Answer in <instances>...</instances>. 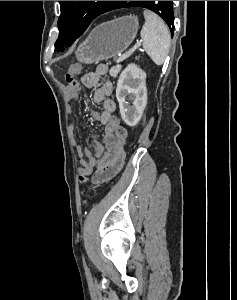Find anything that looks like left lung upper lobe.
I'll return each mask as SVG.
<instances>
[{"instance_id": "1", "label": "left lung upper lobe", "mask_w": 237, "mask_h": 300, "mask_svg": "<svg viewBox=\"0 0 237 300\" xmlns=\"http://www.w3.org/2000/svg\"><path fill=\"white\" fill-rule=\"evenodd\" d=\"M61 15L58 19L59 37L55 48L60 51L63 46L71 45L79 38L90 23L105 9L111 1H59ZM142 7L158 14L174 30L173 1H167L161 8L160 1H122L121 8ZM172 33V32H171Z\"/></svg>"}]
</instances>
